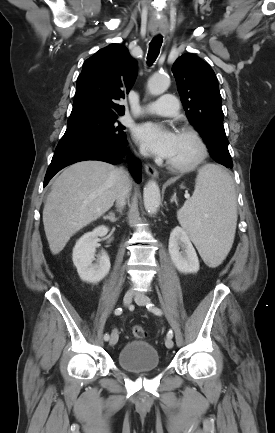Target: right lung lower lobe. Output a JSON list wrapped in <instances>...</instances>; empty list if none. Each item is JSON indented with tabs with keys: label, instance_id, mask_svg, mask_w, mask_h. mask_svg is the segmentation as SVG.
<instances>
[{
	"label": "right lung lower lobe",
	"instance_id": "98d812e1",
	"mask_svg": "<svg viewBox=\"0 0 275 433\" xmlns=\"http://www.w3.org/2000/svg\"><path fill=\"white\" fill-rule=\"evenodd\" d=\"M127 152V141L122 143L98 145H66L56 147L51 164L47 170L44 187L50 179L64 167L84 160H100L117 164L122 155ZM130 172L137 183L141 182V164L136 161L130 167Z\"/></svg>",
	"mask_w": 275,
	"mask_h": 433
}]
</instances>
